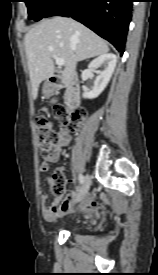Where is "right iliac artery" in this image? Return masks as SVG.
<instances>
[{"instance_id": "right-iliac-artery-1", "label": "right iliac artery", "mask_w": 158, "mask_h": 275, "mask_svg": "<svg viewBox=\"0 0 158 275\" xmlns=\"http://www.w3.org/2000/svg\"><path fill=\"white\" fill-rule=\"evenodd\" d=\"M79 181L81 184L84 182V177L82 174L79 175Z\"/></svg>"}]
</instances>
